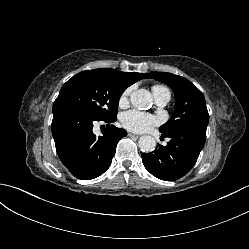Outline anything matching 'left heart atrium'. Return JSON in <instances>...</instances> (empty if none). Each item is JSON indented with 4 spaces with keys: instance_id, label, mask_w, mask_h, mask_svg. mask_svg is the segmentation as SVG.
Segmentation results:
<instances>
[{
    "instance_id": "39dd6f15",
    "label": "left heart atrium",
    "mask_w": 249,
    "mask_h": 249,
    "mask_svg": "<svg viewBox=\"0 0 249 249\" xmlns=\"http://www.w3.org/2000/svg\"><path fill=\"white\" fill-rule=\"evenodd\" d=\"M122 125L134 132H145L158 123V119L139 110H130L122 115Z\"/></svg>"
}]
</instances>
